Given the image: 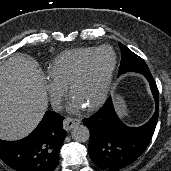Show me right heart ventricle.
I'll return each instance as SVG.
<instances>
[{"mask_svg": "<svg viewBox=\"0 0 171 171\" xmlns=\"http://www.w3.org/2000/svg\"><path fill=\"white\" fill-rule=\"evenodd\" d=\"M95 49L93 47L78 48L59 54L50 65L49 77L68 87L75 72Z\"/></svg>", "mask_w": 171, "mask_h": 171, "instance_id": "1", "label": "right heart ventricle"}]
</instances>
